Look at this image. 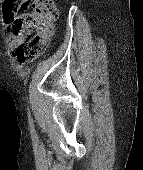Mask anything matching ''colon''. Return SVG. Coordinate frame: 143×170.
I'll return each instance as SVG.
<instances>
[{
	"mask_svg": "<svg viewBox=\"0 0 143 170\" xmlns=\"http://www.w3.org/2000/svg\"><path fill=\"white\" fill-rule=\"evenodd\" d=\"M14 0H2V10L15 31L21 32L16 56L20 61H30L39 57L53 34V21L57 18V6L54 0H34L33 11L16 16L13 10Z\"/></svg>",
	"mask_w": 143,
	"mask_h": 170,
	"instance_id": "5ec220e1",
	"label": "colon"
}]
</instances>
